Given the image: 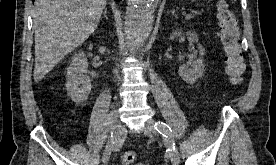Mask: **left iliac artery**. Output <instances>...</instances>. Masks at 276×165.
Segmentation results:
<instances>
[{"label":"left iliac artery","mask_w":276,"mask_h":165,"mask_svg":"<svg viewBox=\"0 0 276 165\" xmlns=\"http://www.w3.org/2000/svg\"><path fill=\"white\" fill-rule=\"evenodd\" d=\"M155 128L163 136L169 151H171V149L175 147V143L170 141L173 137L171 128L167 124L160 121L155 123Z\"/></svg>","instance_id":"obj_1"}]
</instances>
